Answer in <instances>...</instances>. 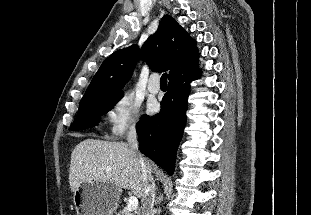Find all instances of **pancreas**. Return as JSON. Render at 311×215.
I'll return each mask as SVG.
<instances>
[{"instance_id":"1","label":"pancreas","mask_w":311,"mask_h":215,"mask_svg":"<svg viewBox=\"0 0 311 215\" xmlns=\"http://www.w3.org/2000/svg\"><path fill=\"white\" fill-rule=\"evenodd\" d=\"M117 215H134V213L129 212L126 208L121 209Z\"/></svg>"}]
</instances>
